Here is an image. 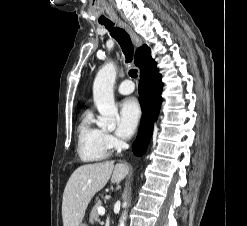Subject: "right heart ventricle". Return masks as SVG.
<instances>
[{
	"mask_svg": "<svg viewBox=\"0 0 247 226\" xmlns=\"http://www.w3.org/2000/svg\"><path fill=\"white\" fill-rule=\"evenodd\" d=\"M77 152L84 162H97L109 155L104 131L94 123L90 111L84 113L78 126Z\"/></svg>",
	"mask_w": 247,
	"mask_h": 226,
	"instance_id": "e07e8e85",
	"label": "right heart ventricle"
}]
</instances>
